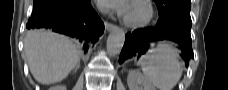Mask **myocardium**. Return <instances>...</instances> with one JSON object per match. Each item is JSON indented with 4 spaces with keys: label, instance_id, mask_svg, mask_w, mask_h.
Returning a JSON list of instances; mask_svg holds the SVG:
<instances>
[{
    "label": "myocardium",
    "instance_id": "obj_1",
    "mask_svg": "<svg viewBox=\"0 0 228 90\" xmlns=\"http://www.w3.org/2000/svg\"><path fill=\"white\" fill-rule=\"evenodd\" d=\"M135 3H139L142 4L143 6H145L146 10H147V14L146 16L138 21H133L131 19H129L126 15L123 17V22L126 26L131 27V28H141L144 27L146 25H148L154 18V8L151 4L150 1L148 0H132L130 1V4H135Z\"/></svg>",
    "mask_w": 228,
    "mask_h": 90
}]
</instances>
